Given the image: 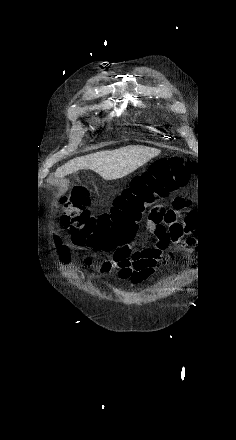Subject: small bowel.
Here are the masks:
<instances>
[{"label":"small bowel","instance_id":"1","mask_svg":"<svg viewBox=\"0 0 236 440\" xmlns=\"http://www.w3.org/2000/svg\"><path fill=\"white\" fill-rule=\"evenodd\" d=\"M190 205L189 198L178 196L170 208L154 206L147 219V229L154 243L142 249L135 248L134 243L118 246L112 256L100 265V272L107 274L116 270L120 279L132 284L149 277L157 268L172 259V254L167 252L171 244L188 247L193 243V238L185 240V236L192 234L184 222L185 210ZM60 254L63 260L69 258V253L64 248L60 249ZM82 263L85 267H91L93 258L90 253L82 254Z\"/></svg>","mask_w":236,"mask_h":440}]
</instances>
